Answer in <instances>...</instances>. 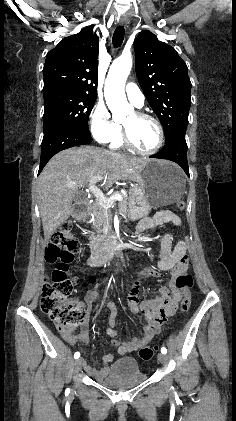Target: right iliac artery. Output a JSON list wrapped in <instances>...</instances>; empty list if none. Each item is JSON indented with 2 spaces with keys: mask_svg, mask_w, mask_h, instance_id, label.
Instances as JSON below:
<instances>
[{
  "mask_svg": "<svg viewBox=\"0 0 236 421\" xmlns=\"http://www.w3.org/2000/svg\"><path fill=\"white\" fill-rule=\"evenodd\" d=\"M80 357V353L79 352H76L75 354H74V358L75 359H78Z\"/></svg>",
  "mask_w": 236,
  "mask_h": 421,
  "instance_id": "obj_1",
  "label": "right iliac artery"
}]
</instances>
